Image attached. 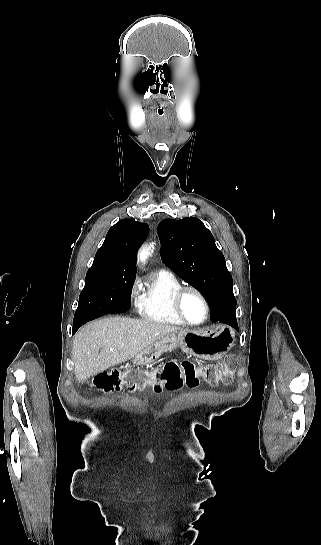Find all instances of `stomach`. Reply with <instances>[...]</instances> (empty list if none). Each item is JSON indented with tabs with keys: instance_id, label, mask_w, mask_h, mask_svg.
<instances>
[{
	"instance_id": "0dacf381",
	"label": "stomach",
	"mask_w": 321,
	"mask_h": 545,
	"mask_svg": "<svg viewBox=\"0 0 321 545\" xmlns=\"http://www.w3.org/2000/svg\"><path fill=\"white\" fill-rule=\"evenodd\" d=\"M235 331L228 325H218L216 329L208 331H179L162 337L135 357L133 363L136 367H143L157 361L163 353L182 349L187 355L205 359V361H217L223 359L228 351L235 345Z\"/></svg>"
}]
</instances>
